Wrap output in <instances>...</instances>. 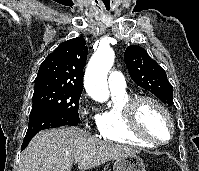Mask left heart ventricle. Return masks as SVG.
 Wrapping results in <instances>:
<instances>
[{"mask_svg": "<svg viewBox=\"0 0 199 171\" xmlns=\"http://www.w3.org/2000/svg\"><path fill=\"white\" fill-rule=\"evenodd\" d=\"M141 128L152 138L163 141L170 133L169 124L164 114L153 104L145 102L140 109Z\"/></svg>", "mask_w": 199, "mask_h": 171, "instance_id": "1", "label": "left heart ventricle"}]
</instances>
